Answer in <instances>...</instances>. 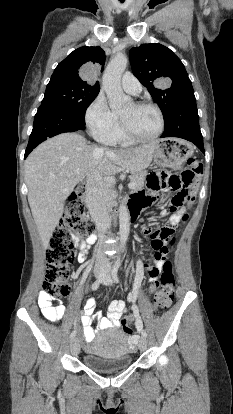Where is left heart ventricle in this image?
<instances>
[{
	"label": "left heart ventricle",
	"instance_id": "left-heart-ventricle-1",
	"mask_svg": "<svg viewBox=\"0 0 233 414\" xmlns=\"http://www.w3.org/2000/svg\"><path fill=\"white\" fill-rule=\"evenodd\" d=\"M130 128L141 137H150L160 128V118L152 108H139L130 104L120 112Z\"/></svg>",
	"mask_w": 233,
	"mask_h": 414
}]
</instances>
